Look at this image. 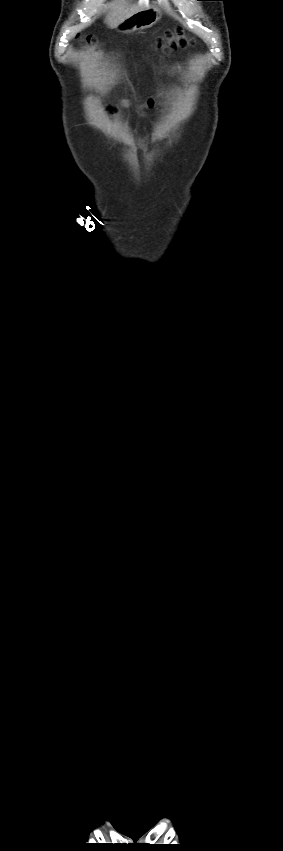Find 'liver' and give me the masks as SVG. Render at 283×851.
<instances>
[{"label": "liver", "instance_id": "6515ba94", "mask_svg": "<svg viewBox=\"0 0 283 851\" xmlns=\"http://www.w3.org/2000/svg\"><path fill=\"white\" fill-rule=\"evenodd\" d=\"M110 11L107 13L105 17V22L110 27H116V25L125 19L126 17L142 10L149 8V4L147 0H139L137 4L130 5L127 7L124 0L120 2H113L109 5Z\"/></svg>", "mask_w": 283, "mask_h": 851}]
</instances>
